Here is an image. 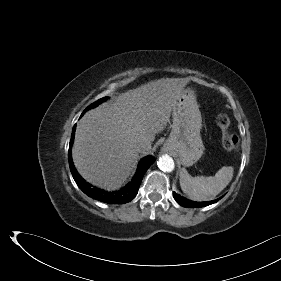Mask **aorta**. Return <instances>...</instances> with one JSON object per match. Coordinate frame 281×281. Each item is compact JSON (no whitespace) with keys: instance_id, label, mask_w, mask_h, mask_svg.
Masks as SVG:
<instances>
[{"instance_id":"1","label":"aorta","mask_w":281,"mask_h":281,"mask_svg":"<svg viewBox=\"0 0 281 281\" xmlns=\"http://www.w3.org/2000/svg\"><path fill=\"white\" fill-rule=\"evenodd\" d=\"M157 165L159 169L164 172H171L175 167L174 161L169 155H163L162 157H160Z\"/></svg>"}]
</instances>
